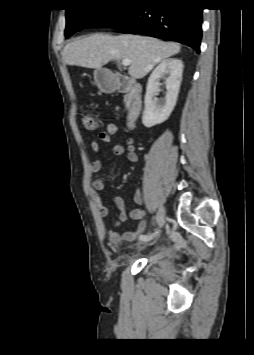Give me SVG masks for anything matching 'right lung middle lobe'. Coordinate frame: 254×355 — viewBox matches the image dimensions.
Listing matches in <instances>:
<instances>
[{
  "label": "right lung middle lobe",
  "instance_id": "right-lung-middle-lobe-1",
  "mask_svg": "<svg viewBox=\"0 0 254 355\" xmlns=\"http://www.w3.org/2000/svg\"><path fill=\"white\" fill-rule=\"evenodd\" d=\"M144 0H100L89 3L85 8L66 9L65 37L85 28L108 27L129 6Z\"/></svg>",
  "mask_w": 254,
  "mask_h": 355
}]
</instances>
